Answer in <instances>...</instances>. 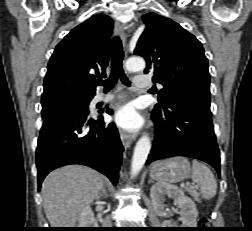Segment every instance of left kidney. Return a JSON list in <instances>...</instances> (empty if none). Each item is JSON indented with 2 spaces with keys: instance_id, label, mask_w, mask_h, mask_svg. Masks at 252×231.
I'll use <instances>...</instances> for the list:
<instances>
[{
  "instance_id": "5707ae66",
  "label": "left kidney",
  "mask_w": 252,
  "mask_h": 231,
  "mask_svg": "<svg viewBox=\"0 0 252 231\" xmlns=\"http://www.w3.org/2000/svg\"><path fill=\"white\" fill-rule=\"evenodd\" d=\"M166 196L174 199V204L180 208L182 225L178 226L176 223L168 222L171 228H195L197 226L198 212L196 205L192 199L187 197L181 190L169 184H154L150 189V197L154 210L159 216L166 214L165 200Z\"/></svg>"
}]
</instances>
